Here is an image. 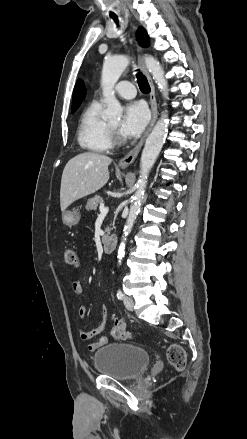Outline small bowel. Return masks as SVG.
<instances>
[{"mask_svg":"<svg viewBox=\"0 0 247 439\" xmlns=\"http://www.w3.org/2000/svg\"><path fill=\"white\" fill-rule=\"evenodd\" d=\"M72 293L76 295L79 298V306L77 309L78 316L81 320V324L79 327V335L81 339L83 340L85 347L89 351H95L98 348L106 345L108 343V339L105 336L99 337L96 341H90L91 338L98 336L101 334L105 327H106V320H107V313L108 309L106 306H103L102 308V320L100 324L95 327L94 329L87 331L84 326V319L86 316V306L82 299L84 298V290L80 283V281L75 280L72 282Z\"/></svg>","mask_w":247,"mask_h":439,"instance_id":"1","label":"small bowel"}]
</instances>
